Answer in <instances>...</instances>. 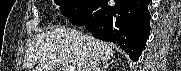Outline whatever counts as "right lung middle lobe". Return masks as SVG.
Segmentation results:
<instances>
[{
	"label": "right lung middle lobe",
	"instance_id": "right-lung-middle-lobe-1",
	"mask_svg": "<svg viewBox=\"0 0 181 71\" xmlns=\"http://www.w3.org/2000/svg\"><path fill=\"white\" fill-rule=\"evenodd\" d=\"M97 2L98 0H54L62 14L68 18L84 14Z\"/></svg>",
	"mask_w": 181,
	"mask_h": 71
}]
</instances>
